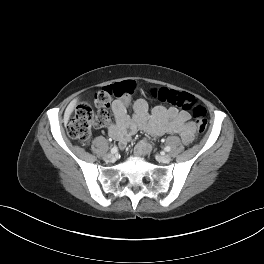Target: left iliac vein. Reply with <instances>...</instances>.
Wrapping results in <instances>:
<instances>
[{
  "mask_svg": "<svg viewBox=\"0 0 264 264\" xmlns=\"http://www.w3.org/2000/svg\"><path fill=\"white\" fill-rule=\"evenodd\" d=\"M156 158L162 163H169L171 161V156L169 154L158 155Z\"/></svg>",
  "mask_w": 264,
  "mask_h": 264,
  "instance_id": "left-iliac-vein-1",
  "label": "left iliac vein"
}]
</instances>
